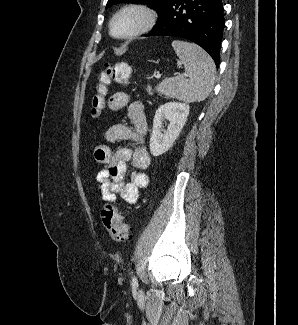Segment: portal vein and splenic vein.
Instances as JSON below:
<instances>
[{
    "mask_svg": "<svg viewBox=\"0 0 298 325\" xmlns=\"http://www.w3.org/2000/svg\"><path fill=\"white\" fill-rule=\"evenodd\" d=\"M160 76H162V74H156V78H160Z\"/></svg>",
    "mask_w": 298,
    "mask_h": 325,
    "instance_id": "18ae733b",
    "label": "portal vein and splenic vein"
}]
</instances>
